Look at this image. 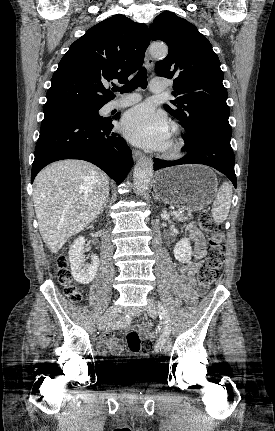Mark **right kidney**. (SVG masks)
Wrapping results in <instances>:
<instances>
[{
	"label": "right kidney",
	"instance_id": "right-kidney-1",
	"mask_svg": "<svg viewBox=\"0 0 275 431\" xmlns=\"http://www.w3.org/2000/svg\"><path fill=\"white\" fill-rule=\"evenodd\" d=\"M85 238L80 236L74 240L69 250V261L71 264V273L73 278L81 284H89L95 277L99 258L92 256L91 264L85 263L84 257Z\"/></svg>",
	"mask_w": 275,
	"mask_h": 431
}]
</instances>
